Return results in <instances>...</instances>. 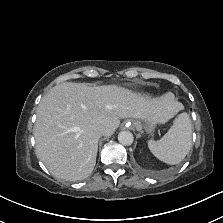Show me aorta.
Returning a JSON list of instances; mask_svg holds the SVG:
<instances>
[{"instance_id":"obj_1","label":"aorta","mask_w":223,"mask_h":223,"mask_svg":"<svg viewBox=\"0 0 223 223\" xmlns=\"http://www.w3.org/2000/svg\"><path fill=\"white\" fill-rule=\"evenodd\" d=\"M118 141L124 146H130L134 141L133 134L130 131H121L118 134Z\"/></svg>"}]
</instances>
